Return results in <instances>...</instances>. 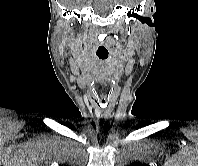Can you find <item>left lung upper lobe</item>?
<instances>
[{
	"mask_svg": "<svg viewBox=\"0 0 198 166\" xmlns=\"http://www.w3.org/2000/svg\"><path fill=\"white\" fill-rule=\"evenodd\" d=\"M130 166H148V165L134 162Z\"/></svg>",
	"mask_w": 198,
	"mask_h": 166,
	"instance_id": "left-lung-upper-lobe-1",
	"label": "left lung upper lobe"
}]
</instances>
